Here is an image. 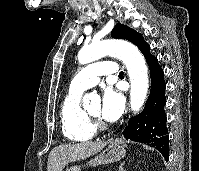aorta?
Segmentation results:
<instances>
[{
	"instance_id": "obj_1",
	"label": "aorta",
	"mask_w": 199,
	"mask_h": 171,
	"mask_svg": "<svg viewBox=\"0 0 199 171\" xmlns=\"http://www.w3.org/2000/svg\"><path fill=\"white\" fill-rule=\"evenodd\" d=\"M106 55L116 56L123 61L128 70L131 83L130 104L133 111L143 106L148 90V72L144 57L131 43L122 40H104L82 48L78 54L81 64H87ZM95 95L87 94L83 98L84 106H88Z\"/></svg>"
}]
</instances>
